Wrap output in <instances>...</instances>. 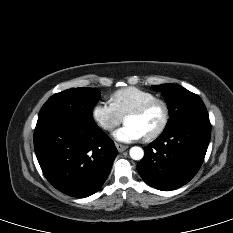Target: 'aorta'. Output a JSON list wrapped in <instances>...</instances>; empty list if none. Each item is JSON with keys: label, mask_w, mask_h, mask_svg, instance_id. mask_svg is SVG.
I'll list each match as a JSON object with an SVG mask.
<instances>
[{"label": "aorta", "mask_w": 233, "mask_h": 233, "mask_svg": "<svg viewBox=\"0 0 233 233\" xmlns=\"http://www.w3.org/2000/svg\"><path fill=\"white\" fill-rule=\"evenodd\" d=\"M129 154L133 160H141L144 156V151L141 147L134 146L130 149Z\"/></svg>", "instance_id": "aorta-1"}]
</instances>
